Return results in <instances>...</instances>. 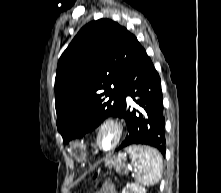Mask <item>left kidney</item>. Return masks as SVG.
Masks as SVG:
<instances>
[{
	"label": "left kidney",
	"instance_id": "obj_1",
	"mask_svg": "<svg viewBox=\"0 0 221 193\" xmlns=\"http://www.w3.org/2000/svg\"><path fill=\"white\" fill-rule=\"evenodd\" d=\"M122 193H146V189L139 184L131 183L123 188Z\"/></svg>",
	"mask_w": 221,
	"mask_h": 193
}]
</instances>
